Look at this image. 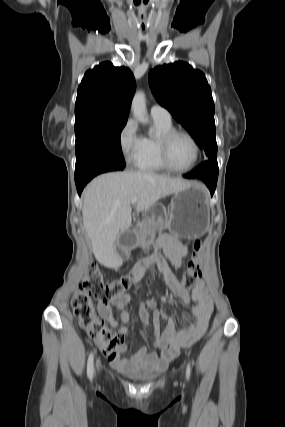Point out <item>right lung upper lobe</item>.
Masks as SVG:
<instances>
[{"instance_id":"1","label":"right lung upper lobe","mask_w":285,"mask_h":427,"mask_svg":"<svg viewBox=\"0 0 285 427\" xmlns=\"http://www.w3.org/2000/svg\"><path fill=\"white\" fill-rule=\"evenodd\" d=\"M135 89V79L129 68L115 67L111 62L95 66L85 73L78 87L76 119H127Z\"/></svg>"}]
</instances>
